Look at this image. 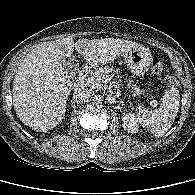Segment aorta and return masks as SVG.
Listing matches in <instances>:
<instances>
[{
    "label": "aorta",
    "mask_w": 195,
    "mask_h": 195,
    "mask_svg": "<svg viewBox=\"0 0 195 195\" xmlns=\"http://www.w3.org/2000/svg\"><path fill=\"white\" fill-rule=\"evenodd\" d=\"M101 101H102V96H101L100 94L95 95V96L93 97V102H94L95 104H100Z\"/></svg>",
    "instance_id": "762f6f07"
}]
</instances>
